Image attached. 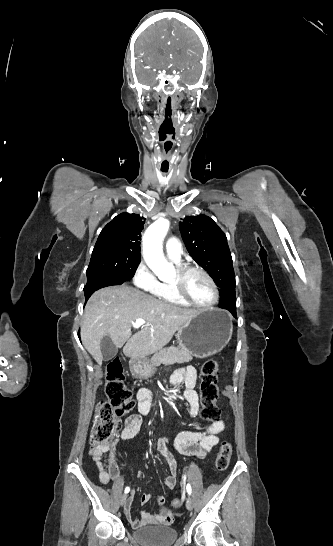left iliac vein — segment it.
Listing matches in <instances>:
<instances>
[{
	"instance_id": "1",
	"label": "left iliac vein",
	"mask_w": 333,
	"mask_h": 546,
	"mask_svg": "<svg viewBox=\"0 0 333 546\" xmlns=\"http://www.w3.org/2000/svg\"><path fill=\"white\" fill-rule=\"evenodd\" d=\"M186 508H187L188 510H192V508H193V501H192L191 498H188V499H187V501H186Z\"/></svg>"
}]
</instances>
